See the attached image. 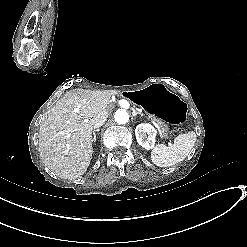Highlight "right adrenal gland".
Wrapping results in <instances>:
<instances>
[{
	"label": "right adrenal gland",
	"mask_w": 247,
	"mask_h": 247,
	"mask_svg": "<svg viewBox=\"0 0 247 247\" xmlns=\"http://www.w3.org/2000/svg\"><path fill=\"white\" fill-rule=\"evenodd\" d=\"M100 129H95L93 130V139H92V142H96V132H99Z\"/></svg>",
	"instance_id": "right-adrenal-gland-1"
}]
</instances>
